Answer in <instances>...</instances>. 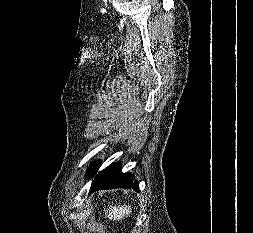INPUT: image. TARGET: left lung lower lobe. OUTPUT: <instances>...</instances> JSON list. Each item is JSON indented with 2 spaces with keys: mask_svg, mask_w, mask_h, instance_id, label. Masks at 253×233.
Masks as SVG:
<instances>
[{
  "mask_svg": "<svg viewBox=\"0 0 253 233\" xmlns=\"http://www.w3.org/2000/svg\"><path fill=\"white\" fill-rule=\"evenodd\" d=\"M100 166L99 162H95L91 172L87 176L88 178L95 175ZM135 177L130 173H121V165L119 163L111 164L103 171L97 174L96 179L93 180L92 186L90 188V193L98 190H107L113 188H133L136 191H139L138 182L133 180Z\"/></svg>",
  "mask_w": 253,
  "mask_h": 233,
  "instance_id": "1",
  "label": "left lung lower lobe"
}]
</instances>
